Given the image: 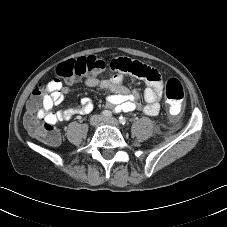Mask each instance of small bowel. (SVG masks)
Returning a JSON list of instances; mask_svg holds the SVG:
<instances>
[{"mask_svg": "<svg viewBox=\"0 0 227 227\" xmlns=\"http://www.w3.org/2000/svg\"><path fill=\"white\" fill-rule=\"evenodd\" d=\"M132 61L129 59H114L112 68L116 74L108 79H98L96 76H89L85 80L88 87H99L108 92L106 100L108 106L114 112H131L140 109L137 95L128 90L124 85V75L131 73L125 67H129ZM156 79L145 78L147 87L143 91V99L146 105L143 111L150 116H155L160 111V100L163 93V83L160 75L155 71ZM68 86H60L58 89L45 94L43 98V108L39 109L37 115L44 123L53 126L70 120L75 115H87L93 111L94 105L90 98L84 97L78 106L69 107L61 111H53L64 97L69 93Z\"/></svg>", "mask_w": 227, "mask_h": 227, "instance_id": "1", "label": "small bowel"}]
</instances>
